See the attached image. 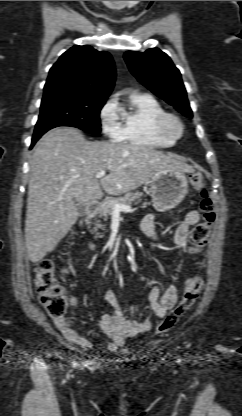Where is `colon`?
<instances>
[{
    "instance_id": "obj_1",
    "label": "colon",
    "mask_w": 242,
    "mask_h": 416,
    "mask_svg": "<svg viewBox=\"0 0 242 416\" xmlns=\"http://www.w3.org/2000/svg\"><path fill=\"white\" fill-rule=\"evenodd\" d=\"M192 185L201 190L200 211L202 220L190 232L191 252L198 254L205 246L216 215L213 203L204 188V179L201 175L191 176ZM202 290L200 275H193L187 282L179 304L171 310L158 324L156 331L165 332L178 324L180 319L195 303ZM36 292L41 305L53 318H62L65 314L68 301L64 290L59 286L55 277V262L52 258H43L39 261L36 271Z\"/></svg>"
}]
</instances>
